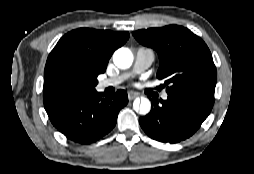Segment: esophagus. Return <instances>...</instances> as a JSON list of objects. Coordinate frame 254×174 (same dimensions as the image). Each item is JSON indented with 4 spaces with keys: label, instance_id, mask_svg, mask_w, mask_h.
I'll use <instances>...</instances> for the list:
<instances>
[{
    "label": "esophagus",
    "instance_id": "1",
    "mask_svg": "<svg viewBox=\"0 0 254 174\" xmlns=\"http://www.w3.org/2000/svg\"><path fill=\"white\" fill-rule=\"evenodd\" d=\"M136 97H138V94L133 93V92H129V93H128V99H129L130 101H132V100L135 99Z\"/></svg>",
    "mask_w": 254,
    "mask_h": 174
}]
</instances>
